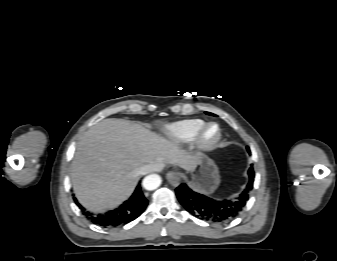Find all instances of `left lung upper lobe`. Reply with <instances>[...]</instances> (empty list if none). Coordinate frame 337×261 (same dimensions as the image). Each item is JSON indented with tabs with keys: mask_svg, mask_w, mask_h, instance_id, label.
<instances>
[{
	"mask_svg": "<svg viewBox=\"0 0 337 261\" xmlns=\"http://www.w3.org/2000/svg\"><path fill=\"white\" fill-rule=\"evenodd\" d=\"M248 152L250 153L249 147H247Z\"/></svg>",
	"mask_w": 337,
	"mask_h": 261,
	"instance_id": "left-lung-upper-lobe-1",
	"label": "left lung upper lobe"
}]
</instances>
